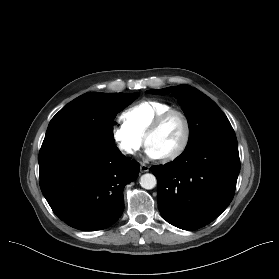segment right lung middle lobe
Listing matches in <instances>:
<instances>
[{"label": "right lung middle lobe", "instance_id": "dd1d6c3e", "mask_svg": "<svg viewBox=\"0 0 279 279\" xmlns=\"http://www.w3.org/2000/svg\"><path fill=\"white\" fill-rule=\"evenodd\" d=\"M139 93H85L62 108L50 121L45 138L63 132H81L113 145V121L117 113L137 99Z\"/></svg>", "mask_w": 279, "mask_h": 279}]
</instances>
